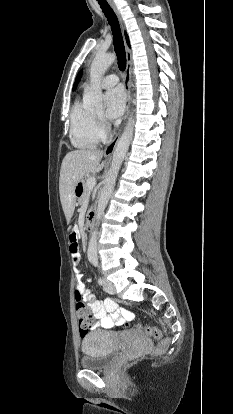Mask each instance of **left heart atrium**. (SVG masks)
I'll use <instances>...</instances> for the list:
<instances>
[{"instance_id": "1", "label": "left heart atrium", "mask_w": 233, "mask_h": 414, "mask_svg": "<svg viewBox=\"0 0 233 414\" xmlns=\"http://www.w3.org/2000/svg\"><path fill=\"white\" fill-rule=\"evenodd\" d=\"M106 117L110 120L119 119L125 109V92L121 87L109 89L104 96Z\"/></svg>"}]
</instances>
